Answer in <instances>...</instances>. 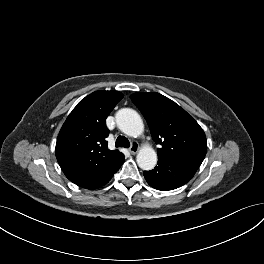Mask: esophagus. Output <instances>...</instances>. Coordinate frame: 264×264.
Segmentation results:
<instances>
[{
    "label": "esophagus",
    "mask_w": 264,
    "mask_h": 264,
    "mask_svg": "<svg viewBox=\"0 0 264 264\" xmlns=\"http://www.w3.org/2000/svg\"><path fill=\"white\" fill-rule=\"evenodd\" d=\"M138 150H139V144L137 142H135V141L132 142L131 146H130V149H129L130 153L131 154H136L138 152Z\"/></svg>",
    "instance_id": "esophagus-1"
}]
</instances>
